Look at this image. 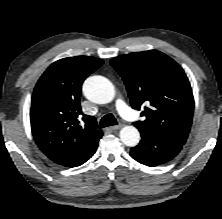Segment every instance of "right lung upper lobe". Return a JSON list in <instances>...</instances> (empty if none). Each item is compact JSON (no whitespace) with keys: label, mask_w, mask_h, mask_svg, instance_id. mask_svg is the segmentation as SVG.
Here are the masks:
<instances>
[{"label":"right lung upper lobe","mask_w":222,"mask_h":219,"mask_svg":"<svg viewBox=\"0 0 222 219\" xmlns=\"http://www.w3.org/2000/svg\"><path fill=\"white\" fill-rule=\"evenodd\" d=\"M102 64V59L91 56L63 58L51 64L35 86L32 133L40 150L59 165L76 167L103 135L96 119L80 107L83 81Z\"/></svg>","instance_id":"cb5924a9"}]
</instances>
